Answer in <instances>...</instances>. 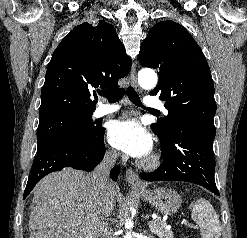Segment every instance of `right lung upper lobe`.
Listing matches in <instances>:
<instances>
[{
	"instance_id": "1",
	"label": "right lung upper lobe",
	"mask_w": 247,
	"mask_h": 238,
	"mask_svg": "<svg viewBox=\"0 0 247 238\" xmlns=\"http://www.w3.org/2000/svg\"><path fill=\"white\" fill-rule=\"evenodd\" d=\"M130 68L131 59L111 24L94 20L79 25L52 55L41 91L39 122L93 112L97 102L93 89H117Z\"/></svg>"
}]
</instances>
